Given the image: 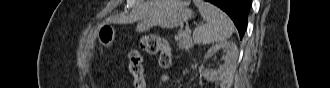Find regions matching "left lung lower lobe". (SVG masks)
I'll return each instance as SVG.
<instances>
[{"label": "left lung lower lobe", "mask_w": 330, "mask_h": 88, "mask_svg": "<svg viewBox=\"0 0 330 88\" xmlns=\"http://www.w3.org/2000/svg\"><path fill=\"white\" fill-rule=\"evenodd\" d=\"M224 12H226L233 20L237 27L240 39H242L247 28V18L251 5V0H206Z\"/></svg>", "instance_id": "0a47b994"}]
</instances>
